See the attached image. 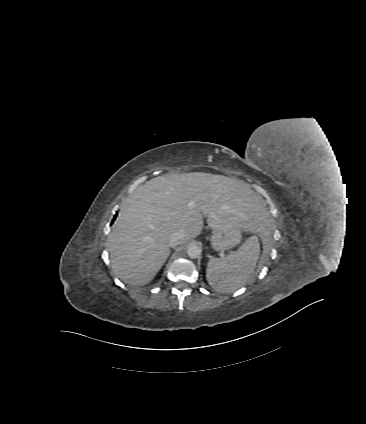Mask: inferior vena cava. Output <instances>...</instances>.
<instances>
[{"mask_svg":"<svg viewBox=\"0 0 366 424\" xmlns=\"http://www.w3.org/2000/svg\"><path fill=\"white\" fill-rule=\"evenodd\" d=\"M183 237H184V233L183 232H176V233L172 234L169 237V243H168V245L170 247H172V248L173 247H176L177 245H179L181 243V240L183 239Z\"/></svg>","mask_w":366,"mask_h":424,"instance_id":"602c4592","label":"inferior vena cava"}]
</instances>
